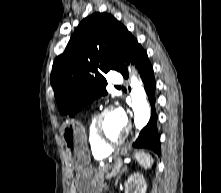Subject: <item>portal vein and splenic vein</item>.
I'll list each match as a JSON object with an SVG mask.
<instances>
[{
  "instance_id": "1",
  "label": "portal vein and splenic vein",
  "mask_w": 221,
  "mask_h": 193,
  "mask_svg": "<svg viewBox=\"0 0 221 193\" xmlns=\"http://www.w3.org/2000/svg\"><path fill=\"white\" fill-rule=\"evenodd\" d=\"M120 166H121V164L115 165V167L112 169V171L107 174L106 178H107V179H111L113 176H115L116 173L118 172Z\"/></svg>"
}]
</instances>
